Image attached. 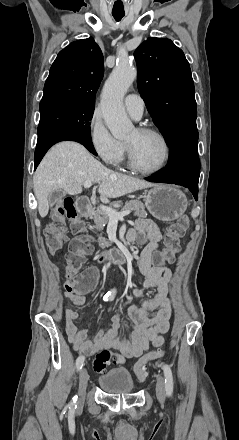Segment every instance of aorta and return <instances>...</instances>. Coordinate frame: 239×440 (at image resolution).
I'll return each instance as SVG.
<instances>
[{
  "label": "aorta",
  "instance_id": "obj_1",
  "mask_svg": "<svg viewBox=\"0 0 239 440\" xmlns=\"http://www.w3.org/2000/svg\"><path fill=\"white\" fill-rule=\"evenodd\" d=\"M136 76V68L130 66L128 60L119 58L117 66L112 70L102 90V116L116 140H125L131 132H134V126L123 106V98L136 80Z\"/></svg>",
  "mask_w": 239,
  "mask_h": 440
}]
</instances>
